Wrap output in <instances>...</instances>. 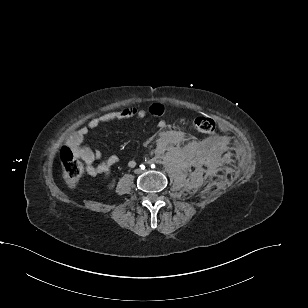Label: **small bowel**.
<instances>
[{"instance_id":"obj_1","label":"small bowel","mask_w":308,"mask_h":308,"mask_svg":"<svg viewBox=\"0 0 308 308\" xmlns=\"http://www.w3.org/2000/svg\"><path fill=\"white\" fill-rule=\"evenodd\" d=\"M165 113V109L161 104H152L148 109H143L137 106L126 107L124 109L110 111L98 117L91 119L87 125L78 129L67 140V146L71 148L75 157L79 159L85 166L87 173L91 176L104 175L109 176L112 167L118 162L116 155H110L106 157L100 164L95 165L94 162L102 158V153L97 149H91L84 145V140L87 134L103 124L110 122L127 119V118H139L142 119L150 114L154 117H162ZM160 129V135L157 141L159 149H164L171 144H180L184 140V134L179 130H167L166 122L161 120L158 123ZM135 161L128 162L130 167L135 166Z\"/></svg>"}]
</instances>
